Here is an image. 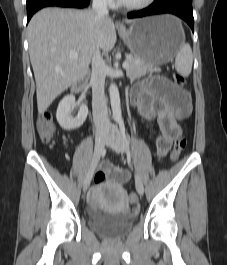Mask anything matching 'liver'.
Returning a JSON list of instances; mask_svg holds the SVG:
<instances>
[{"mask_svg":"<svg viewBox=\"0 0 227 265\" xmlns=\"http://www.w3.org/2000/svg\"><path fill=\"white\" fill-rule=\"evenodd\" d=\"M27 30L39 114L87 74L97 49L108 53L117 40L113 21L93 10L45 8L32 17ZM72 52L78 58H70Z\"/></svg>","mask_w":227,"mask_h":265,"instance_id":"obj_1","label":"liver"}]
</instances>
